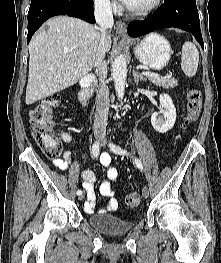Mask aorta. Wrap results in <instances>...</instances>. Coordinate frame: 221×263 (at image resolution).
<instances>
[{
	"label": "aorta",
	"instance_id": "aorta-1",
	"mask_svg": "<svg viewBox=\"0 0 221 263\" xmlns=\"http://www.w3.org/2000/svg\"><path fill=\"white\" fill-rule=\"evenodd\" d=\"M112 79L115 84V90L119 100H122L125 93L127 64L123 55L118 56L112 66Z\"/></svg>",
	"mask_w": 221,
	"mask_h": 263
}]
</instances>
